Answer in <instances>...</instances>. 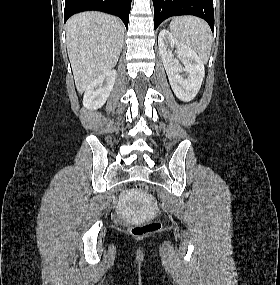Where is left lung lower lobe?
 <instances>
[{"instance_id":"obj_1","label":"left lung lower lobe","mask_w":280,"mask_h":285,"mask_svg":"<svg viewBox=\"0 0 280 285\" xmlns=\"http://www.w3.org/2000/svg\"><path fill=\"white\" fill-rule=\"evenodd\" d=\"M154 29L162 21L178 15H194L203 18L214 29V9L212 0H153Z\"/></svg>"}]
</instances>
